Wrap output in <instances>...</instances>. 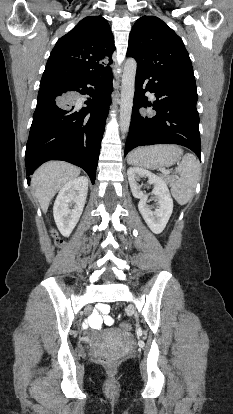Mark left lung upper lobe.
<instances>
[{
	"instance_id": "1",
	"label": "left lung upper lobe",
	"mask_w": 233,
	"mask_h": 414,
	"mask_svg": "<svg viewBox=\"0 0 233 414\" xmlns=\"http://www.w3.org/2000/svg\"><path fill=\"white\" fill-rule=\"evenodd\" d=\"M127 56L137 69L169 82L195 83L193 68L181 38L161 19L143 16L130 35Z\"/></svg>"
}]
</instances>
